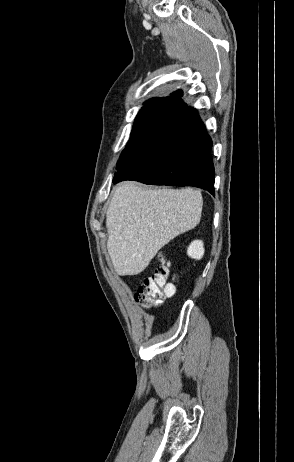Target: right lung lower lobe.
<instances>
[{
  "instance_id": "98d812e1",
  "label": "right lung lower lobe",
  "mask_w": 294,
  "mask_h": 462,
  "mask_svg": "<svg viewBox=\"0 0 294 462\" xmlns=\"http://www.w3.org/2000/svg\"><path fill=\"white\" fill-rule=\"evenodd\" d=\"M212 140L194 108H187L154 142L117 172L113 182L195 186L214 195Z\"/></svg>"
}]
</instances>
